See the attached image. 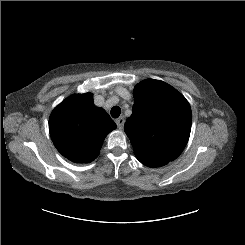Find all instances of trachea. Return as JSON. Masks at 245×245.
<instances>
[{
	"mask_svg": "<svg viewBox=\"0 0 245 245\" xmlns=\"http://www.w3.org/2000/svg\"><path fill=\"white\" fill-rule=\"evenodd\" d=\"M121 114V109L119 106H114L112 109H111V116L113 118H118Z\"/></svg>",
	"mask_w": 245,
	"mask_h": 245,
	"instance_id": "obj_1",
	"label": "trachea"
}]
</instances>
